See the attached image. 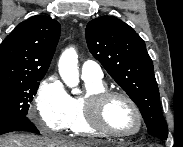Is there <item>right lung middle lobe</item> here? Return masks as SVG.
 I'll return each mask as SVG.
<instances>
[{
	"label": "right lung middle lobe",
	"instance_id": "obj_1",
	"mask_svg": "<svg viewBox=\"0 0 183 147\" xmlns=\"http://www.w3.org/2000/svg\"><path fill=\"white\" fill-rule=\"evenodd\" d=\"M42 78L0 83V119L26 116Z\"/></svg>",
	"mask_w": 183,
	"mask_h": 147
}]
</instances>
